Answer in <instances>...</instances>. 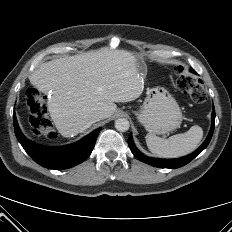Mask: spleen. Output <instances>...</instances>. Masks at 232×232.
<instances>
[{"label": "spleen", "instance_id": "obj_1", "mask_svg": "<svg viewBox=\"0 0 232 232\" xmlns=\"http://www.w3.org/2000/svg\"><path fill=\"white\" fill-rule=\"evenodd\" d=\"M203 137L200 126H192L187 132L176 134L168 139L157 137L154 134L146 135V143L149 150L163 158H177L194 151Z\"/></svg>", "mask_w": 232, "mask_h": 232}]
</instances>
